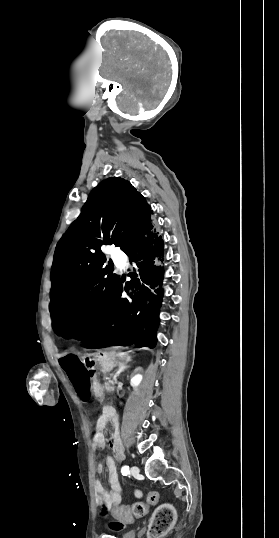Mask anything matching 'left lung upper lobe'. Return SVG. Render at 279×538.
<instances>
[{"label": "left lung upper lobe", "mask_w": 279, "mask_h": 538, "mask_svg": "<svg viewBox=\"0 0 279 538\" xmlns=\"http://www.w3.org/2000/svg\"><path fill=\"white\" fill-rule=\"evenodd\" d=\"M152 213L145 198L120 177L91 191L54 253L50 313L56 334L91 336L105 323L121 281L103 266L101 246L115 244L126 252L152 225Z\"/></svg>", "instance_id": "1"}]
</instances>
